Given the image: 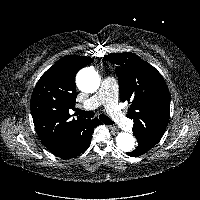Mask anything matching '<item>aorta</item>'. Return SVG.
<instances>
[{
    "label": "aorta",
    "mask_w": 200,
    "mask_h": 200,
    "mask_svg": "<svg viewBox=\"0 0 200 200\" xmlns=\"http://www.w3.org/2000/svg\"><path fill=\"white\" fill-rule=\"evenodd\" d=\"M78 88L85 93H93L98 90L100 86V76L91 67L83 68L77 74L76 78ZM116 145L117 147L124 151L130 152L135 147L134 137L126 132H120L116 136Z\"/></svg>",
    "instance_id": "aorta-1"
}]
</instances>
